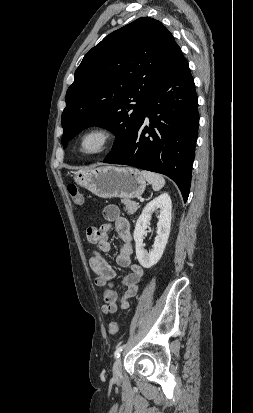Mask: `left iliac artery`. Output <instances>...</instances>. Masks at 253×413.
Wrapping results in <instances>:
<instances>
[{
    "instance_id": "left-iliac-artery-1",
    "label": "left iliac artery",
    "mask_w": 253,
    "mask_h": 413,
    "mask_svg": "<svg viewBox=\"0 0 253 413\" xmlns=\"http://www.w3.org/2000/svg\"><path fill=\"white\" fill-rule=\"evenodd\" d=\"M123 348H124V345H122V346H120L119 348L116 349V351L114 353L115 358L120 356V353L122 352Z\"/></svg>"
}]
</instances>
